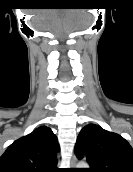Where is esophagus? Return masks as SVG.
I'll use <instances>...</instances> for the list:
<instances>
[{
	"mask_svg": "<svg viewBox=\"0 0 133 172\" xmlns=\"http://www.w3.org/2000/svg\"><path fill=\"white\" fill-rule=\"evenodd\" d=\"M76 162H77V160H76V157H75V155H74V156L72 157V159H71V166H72V167H75Z\"/></svg>",
	"mask_w": 133,
	"mask_h": 172,
	"instance_id": "34e87169",
	"label": "esophagus"
}]
</instances>
